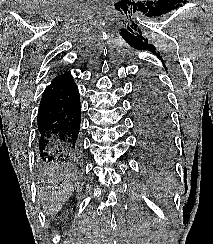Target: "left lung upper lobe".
I'll use <instances>...</instances> for the list:
<instances>
[{
  "label": "left lung upper lobe",
  "mask_w": 213,
  "mask_h": 244,
  "mask_svg": "<svg viewBox=\"0 0 213 244\" xmlns=\"http://www.w3.org/2000/svg\"><path fill=\"white\" fill-rule=\"evenodd\" d=\"M135 114L148 122L163 139L170 135L171 120L168 104L162 88L154 77L144 76L135 91Z\"/></svg>",
  "instance_id": "obj_1"
}]
</instances>
